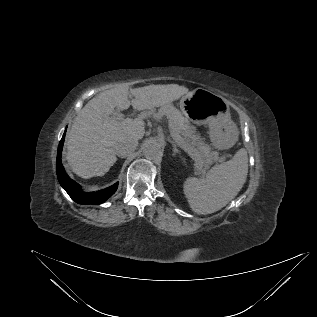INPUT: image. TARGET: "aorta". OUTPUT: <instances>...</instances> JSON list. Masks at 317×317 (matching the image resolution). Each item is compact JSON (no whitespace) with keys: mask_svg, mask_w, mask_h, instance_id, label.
Wrapping results in <instances>:
<instances>
[{"mask_svg":"<svg viewBox=\"0 0 317 317\" xmlns=\"http://www.w3.org/2000/svg\"><path fill=\"white\" fill-rule=\"evenodd\" d=\"M143 154L147 159H158L162 156L161 145L155 140H149L143 146Z\"/></svg>","mask_w":317,"mask_h":317,"instance_id":"aorta-1","label":"aorta"}]
</instances>
